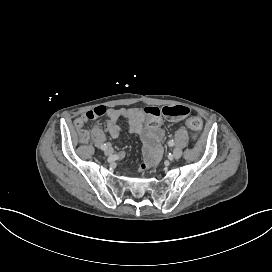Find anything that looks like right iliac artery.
Masks as SVG:
<instances>
[{
    "label": "right iliac artery",
    "mask_w": 272,
    "mask_h": 272,
    "mask_svg": "<svg viewBox=\"0 0 272 272\" xmlns=\"http://www.w3.org/2000/svg\"><path fill=\"white\" fill-rule=\"evenodd\" d=\"M108 145H109V144H103V145H101V149H102V150H106L107 147H108Z\"/></svg>",
    "instance_id": "82829eb1"
}]
</instances>
